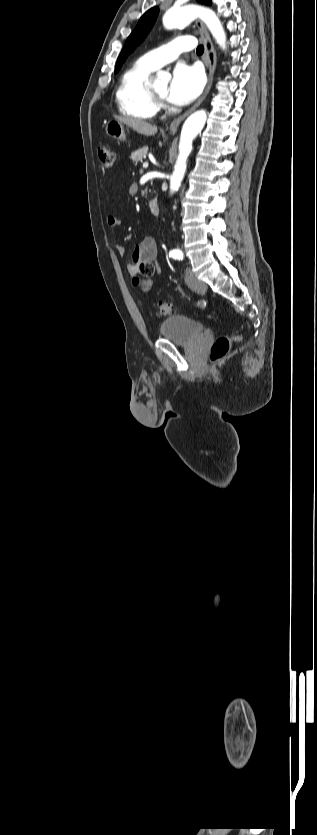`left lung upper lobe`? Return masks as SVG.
<instances>
[{
	"mask_svg": "<svg viewBox=\"0 0 317 835\" xmlns=\"http://www.w3.org/2000/svg\"><path fill=\"white\" fill-rule=\"evenodd\" d=\"M198 2L206 5L211 4V0H197ZM159 9L158 7H153L148 10L139 20L136 28L127 38L125 45L119 55L117 60L115 73L119 71L123 62L126 60L127 56L135 50V48L145 39V37L150 32L152 26L155 23V20L158 16Z\"/></svg>",
	"mask_w": 317,
	"mask_h": 835,
	"instance_id": "1",
	"label": "left lung upper lobe"
}]
</instances>
